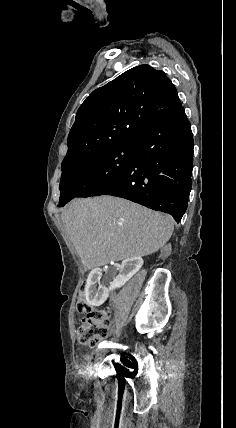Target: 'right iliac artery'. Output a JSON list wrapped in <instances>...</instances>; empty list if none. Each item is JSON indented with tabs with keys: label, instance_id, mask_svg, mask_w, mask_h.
<instances>
[{
	"label": "right iliac artery",
	"instance_id": "obj_1",
	"mask_svg": "<svg viewBox=\"0 0 236 428\" xmlns=\"http://www.w3.org/2000/svg\"><path fill=\"white\" fill-rule=\"evenodd\" d=\"M98 348H123L124 350H126L128 346H122L116 343L104 341L98 345Z\"/></svg>",
	"mask_w": 236,
	"mask_h": 428
}]
</instances>
